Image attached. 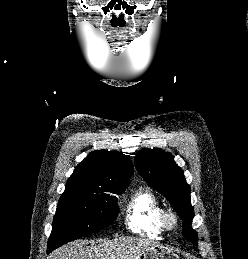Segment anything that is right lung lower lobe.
I'll use <instances>...</instances> for the list:
<instances>
[{
	"instance_id": "right-lung-lower-lobe-1",
	"label": "right lung lower lobe",
	"mask_w": 248,
	"mask_h": 259,
	"mask_svg": "<svg viewBox=\"0 0 248 259\" xmlns=\"http://www.w3.org/2000/svg\"><path fill=\"white\" fill-rule=\"evenodd\" d=\"M53 249H54V248H53L52 246H49V245H48L47 252L49 253V252H51Z\"/></svg>"
}]
</instances>
